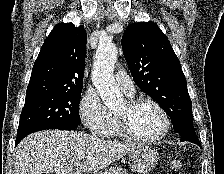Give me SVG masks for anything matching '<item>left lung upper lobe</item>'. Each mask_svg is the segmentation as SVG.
<instances>
[{
  "label": "left lung upper lobe",
  "instance_id": "left-lung-upper-lobe-1",
  "mask_svg": "<svg viewBox=\"0 0 224 174\" xmlns=\"http://www.w3.org/2000/svg\"><path fill=\"white\" fill-rule=\"evenodd\" d=\"M121 43L134 82L165 110L174 131L194 129L185 76L158 25L154 22L131 24Z\"/></svg>",
  "mask_w": 224,
  "mask_h": 174
}]
</instances>
